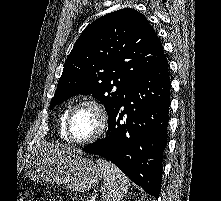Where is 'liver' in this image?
I'll use <instances>...</instances> for the list:
<instances>
[{"label":"liver","instance_id":"1","mask_svg":"<svg viewBox=\"0 0 221 201\" xmlns=\"http://www.w3.org/2000/svg\"><path fill=\"white\" fill-rule=\"evenodd\" d=\"M51 149H54L55 151H70V149L66 148V147H63V146H57L55 148H51Z\"/></svg>","mask_w":221,"mask_h":201}]
</instances>
